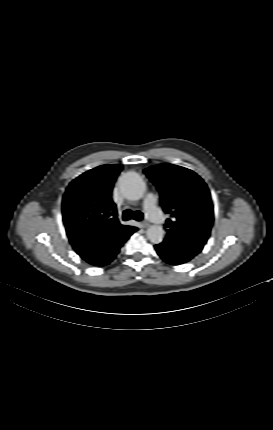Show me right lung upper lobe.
Returning <instances> with one entry per match:
<instances>
[{
	"label": "right lung upper lobe",
	"mask_w": 273,
	"mask_h": 430,
	"mask_svg": "<svg viewBox=\"0 0 273 430\" xmlns=\"http://www.w3.org/2000/svg\"><path fill=\"white\" fill-rule=\"evenodd\" d=\"M121 165H102L74 179L62 201L63 222L74 250L91 261L108 242L126 241L137 230L117 218L111 192Z\"/></svg>",
	"instance_id": "cb5924a9"
}]
</instances>
